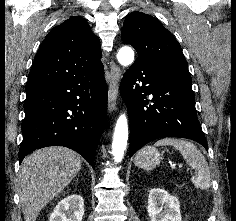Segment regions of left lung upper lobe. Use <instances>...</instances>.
Masks as SVG:
<instances>
[{"label": "left lung upper lobe", "mask_w": 236, "mask_h": 221, "mask_svg": "<svg viewBox=\"0 0 236 221\" xmlns=\"http://www.w3.org/2000/svg\"><path fill=\"white\" fill-rule=\"evenodd\" d=\"M121 38L136 49V61L191 80L180 44L153 16L138 11L130 13L124 21Z\"/></svg>", "instance_id": "obj_1"}]
</instances>
